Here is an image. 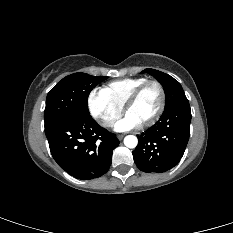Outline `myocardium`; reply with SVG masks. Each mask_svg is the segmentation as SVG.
<instances>
[{
    "label": "myocardium",
    "instance_id": "1",
    "mask_svg": "<svg viewBox=\"0 0 233 233\" xmlns=\"http://www.w3.org/2000/svg\"><path fill=\"white\" fill-rule=\"evenodd\" d=\"M150 85H155L159 89L160 104H159L157 111L151 116V118H149L147 121L140 124L141 127H149V126L153 125L159 119V117L162 115L164 108H165V102H166L165 89H164L163 85L156 80H148V81L144 82L143 84H141L140 86H138L130 94V96L128 97V99L126 100V102L124 104V110H125V112H128L129 108L137 101V99L139 98L141 93Z\"/></svg>",
    "mask_w": 233,
    "mask_h": 233
}]
</instances>
